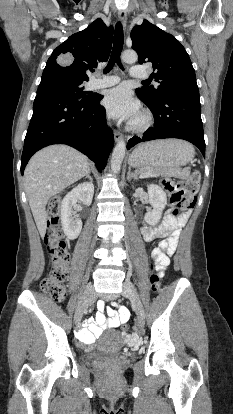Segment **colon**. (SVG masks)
Listing matches in <instances>:
<instances>
[{
    "label": "colon",
    "instance_id": "obj_1",
    "mask_svg": "<svg viewBox=\"0 0 233 414\" xmlns=\"http://www.w3.org/2000/svg\"><path fill=\"white\" fill-rule=\"evenodd\" d=\"M200 174L193 171L190 178L185 181L163 179L162 185L170 195V201L176 205L172 215L176 219L186 217L196 202V193L199 188ZM61 205L58 199H53L48 205V224L44 241L48 254L52 261L49 274L43 279L41 288L43 292L55 301H60L65 296V284L69 278L68 261L70 258L69 244L64 239L60 229ZM173 245L170 246L172 250ZM161 252L156 248L152 251V259L159 258ZM151 287L157 290L159 277L152 272L150 276ZM126 334L130 333L128 326L123 327Z\"/></svg>",
    "mask_w": 233,
    "mask_h": 414
}]
</instances>
